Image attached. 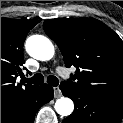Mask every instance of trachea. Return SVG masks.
<instances>
[{"instance_id":"3493384b","label":"trachea","mask_w":123,"mask_h":123,"mask_svg":"<svg viewBox=\"0 0 123 123\" xmlns=\"http://www.w3.org/2000/svg\"><path fill=\"white\" fill-rule=\"evenodd\" d=\"M25 81L30 84H42L44 82V77L42 74L37 73L32 78L26 79ZM47 82L54 87L58 86V79L55 76H48Z\"/></svg>"}]
</instances>
